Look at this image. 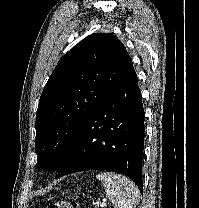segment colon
<instances>
[{"label": "colon", "instance_id": "colon-1", "mask_svg": "<svg viewBox=\"0 0 199 208\" xmlns=\"http://www.w3.org/2000/svg\"><path fill=\"white\" fill-rule=\"evenodd\" d=\"M46 208H79V207L73 201L60 199V200H56V201L48 203Z\"/></svg>", "mask_w": 199, "mask_h": 208}]
</instances>
